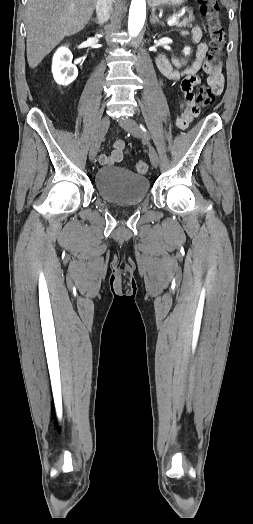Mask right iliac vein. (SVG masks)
Here are the masks:
<instances>
[{
  "label": "right iliac vein",
  "mask_w": 253,
  "mask_h": 524,
  "mask_svg": "<svg viewBox=\"0 0 253 524\" xmlns=\"http://www.w3.org/2000/svg\"><path fill=\"white\" fill-rule=\"evenodd\" d=\"M109 125H110L109 117L108 116H104L102 118V120L100 121L99 125H98V128H97L94 140H93L91 148H90V152H89L90 160H94L95 159V157H96V155L98 153V150L100 148L101 142H102L105 134L107 133Z\"/></svg>",
  "instance_id": "right-iliac-vein-1"
}]
</instances>
